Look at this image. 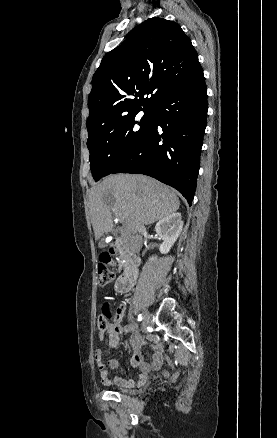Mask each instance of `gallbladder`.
I'll return each mask as SVG.
<instances>
[{
    "instance_id": "gallbladder-1",
    "label": "gallbladder",
    "mask_w": 277,
    "mask_h": 438,
    "mask_svg": "<svg viewBox=\"0 0 277 438\" xmlns=\"http://www.w3.org/2000/svg\"><path fill=\"white\" fill-rule=\"evenodd\" d=\"M99 248H104L103 244H99Z\"/></svg>"
}]
</instances>
